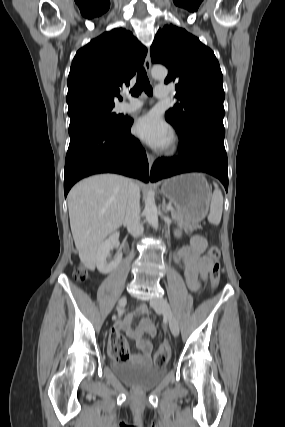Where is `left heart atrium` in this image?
I'll list each match as a JSON object with an SVG mask.
<instances>
[{
    "label": "left heart atrium",
    "mask_w": 285,
    "mask_h": 427,
    "mask_svg": "<svg viewBox=\"0 0 285 427\" xmlns=\"http://www.w3.org/2000/svg\"><path fill=\"white\" fill-rule=\"evenodd\" d=\"M134 133L154 148H165L172 140L171 128L155 112L139 117L134 124Z\"/></svg>",
    "instance_id": "39dd6f15"
}]
</instances>
